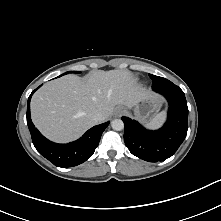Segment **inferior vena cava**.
<instances>
[{
  "label": "inferior vena cava",
  "instance_id": "obj_1",
  "mask_svg": "<svg viewBox=\"0 0 221 221\" xmlns=\"http://www.w3.org/2000/svg\"><path fill=\"white\" fill-rule=\"evenodd\" d=\"M103 114L101 112H97L93 115V120L96 122V123H100L103 121Z\"/></svg>",
  "mask_w": 221,
  "mask_h": 221
}]
</instances>
